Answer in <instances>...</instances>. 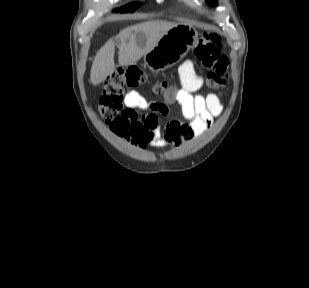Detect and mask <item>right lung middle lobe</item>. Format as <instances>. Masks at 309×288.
Segmentation results:
<instances>
[{
	"label": "right lung middle lobe",
	"mask_w": 309,
	"mask_h": 288,
	"mask_svg": "<svg viewBox=\"0 0 309 288\" xmlns=\"http://www.w3.org/2000/svg\"><path fill=\"white\" fill-rule=\"evenodd\" d=\"M138 4L137 3H131L128 4L120 9H118L117 11L121 12V13H125V12H134L136 10V8H138Z\"/></svg>",
	"instance_id": "dd1d6c3e"
}]
</instances>
